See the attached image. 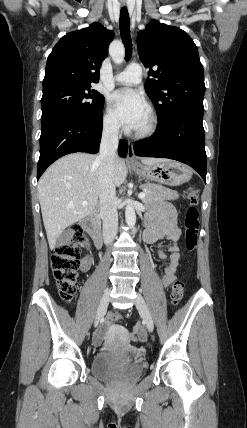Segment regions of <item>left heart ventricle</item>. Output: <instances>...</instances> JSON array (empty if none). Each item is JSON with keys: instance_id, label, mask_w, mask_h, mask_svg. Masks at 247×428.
I'll use <instances>...</instances> for the list:
<instances>
[{"instance_id": "obj_1", "label": "left heart ventricle", "mask_w": 247, "mask_h": 428, "mask_svg": "<svg viewBox=\"0 0 247 428\" xmlns=\"http://www.w3.org/2000/svg\"><path fill=\"white\" fill-rule=\"evenodd\" d=\"M148 121H149V118H148V115H147L146 118L143 120V122L140 124V126L136 130H143V129H145L147 127V125H148Z\"/></svg>"}]
</instances>
